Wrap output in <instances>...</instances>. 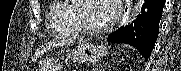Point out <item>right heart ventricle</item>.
Masks as SVG:
<instances>
[{
    "instance_id": "1",
    "label": "right heart ventricle",
    "mask_w": 181,
    "mask_h": 71,
    "mask_svg": "<svg viewBox=\"0 0 181 71\" xmlns=\"http://www.w3.org/2000/svg\"><path fill=\"white\" fill-rule=\"evenodd\" d=\"M72 2L55 1L48 14V28L61 37H78L80 32L72 20Z\"/></svg>"
}]
</instances>
